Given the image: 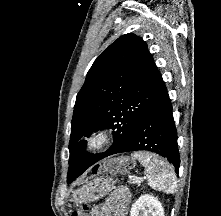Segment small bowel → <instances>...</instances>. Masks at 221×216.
I'll use <instances>...</instances> for the list:
<instances>
[{"instance_id":"1","label":"small bowel","mask_w":221,"mask_h":216,"mask_svg":"<svg viewBox=\"0 0 221 216\" xmlns=\"http://www.w3.org/2000/svg\"><path fill=\"white\" fill-rule=\"evenodd\" d=\"M130 195L126 189L114 191L107 200L91 210L89 216H126Z\"/></svg>"}]
</instances>
